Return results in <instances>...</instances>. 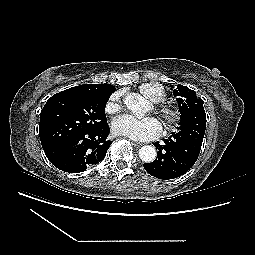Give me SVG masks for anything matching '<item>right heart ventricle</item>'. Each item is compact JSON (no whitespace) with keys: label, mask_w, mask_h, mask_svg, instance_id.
Returning <instances> with one entry per match:
<instances>
[{"label":"right heart ventricle","mask_w":255,"mask_h":255,"mask_svg":"<svg viewBox=\"0 0 255 255\" xmlns=\"http://www.w3.org/2000/svg\"><path fill=\"white\" fill-rule=\"evenodd\" d=\"M139 91L143 97L152 103H160L166 99L165 90L158 84L147 83L139 87Z\"/></svg>","instance_id":"e07e8e85"}]
</instances>
